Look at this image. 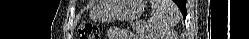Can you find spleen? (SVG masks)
Instances as JSON below:
<instances>
[{"mask_svg":"<svg viewBox=\"0 0 249 39\" xmlns=\"http://www.w3.org/2000/svg\"><path fill=\"white\" fill-rule=\"evenodd\" d=\"M153 15L150 25L153 27V34L161 37L169 31L181 18L178 7L172 0H151Z\"/></svg>","mask_w":249,"mask_h":39,"instance_id":"1","label":"spleen"}]
</instances>
